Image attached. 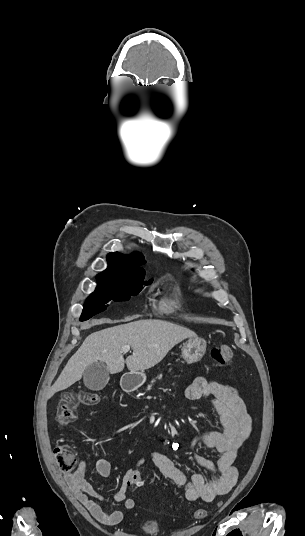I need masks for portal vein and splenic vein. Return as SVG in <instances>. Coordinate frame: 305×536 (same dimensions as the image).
I'll use <instances>...</instances> for the list:
<instances>
[{"label": "portal vein and splenic vein", "instance_id": "obj_1", "mask_svg": "<svg viewBox=\"0 0 305 536\" xmlns=\"http://www.w3.org/2000/svg\"><path fill=\"white\" fill-rule=\"evenodd\" d=\"M122 352H130V346H123Z\"/></svg>", "mask_w": 305, "mask_h": 536}]
</instances>
